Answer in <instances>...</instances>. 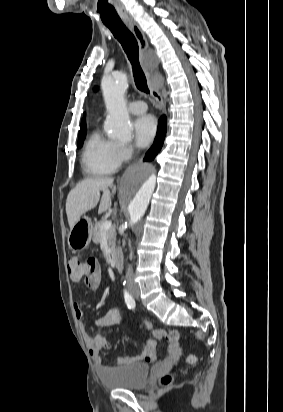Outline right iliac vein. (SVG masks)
I'll return each instance as SVG.
<instances>
[{"label": "right iliac vein", "instance_id": "1", "mask_svg": "<svg viewBox=\"0 0 283 412\" xmlns=\"http://www.w3.org/2000/svg\"><path fill=\"white\" fill-rule=\"evenodd\" d=\"M130 293H131L133 296L138 297L140 292H139V289H138V288H135V289H130Z\"/></svg>", "mask_w": 283, "mask_h": 412}]
</instances>
